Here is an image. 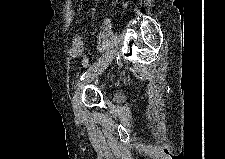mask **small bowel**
<instances>
[{"instance_id":"c3829d8e","label":"small bowel","mask_w":225,"mask_h":159,"mask_svg":"<svg viewBox=\"0 0 225 159\" xmlns=\"http://www.w3.org/2000/svg\"><path fill=\"white\" fill-rule=\"evenodd\" d=\"M70 18H73L74 12L73 9L70 8V12H69ZM84 48H85V43L84 40L82 38L81 35H78L74 38L73 42H72V46L69 50V55L71 58H77L79 56H81L84 52Z\"/></svg>"}]
</instances>
